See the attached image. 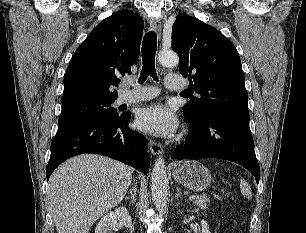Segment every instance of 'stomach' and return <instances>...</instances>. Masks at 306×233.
Segmentation results:
<instances>
[{
	"mask_svg": "<svg viewBox=\"0 0 306 233\" xmlns=\"http://www.w3.org/2000/svg\"><path fill=\"white\" fill-rule=\"evenodd\" d=\"M174 180L184 187L202 191L211 183V174L209 170L196 160H187L173 170Z\"/></svg>",
	"mask_w": 306,
	"mask_h": 233,
	"instance_id": "stomach-1",
	"label": "stomach"
}]
</instances>
